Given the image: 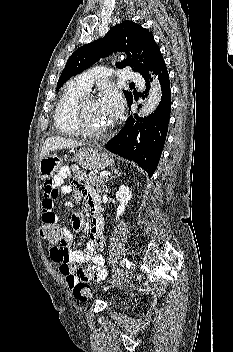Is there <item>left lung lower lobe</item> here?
<instances>
[{
	"label": "left lung lower lobe",
	"instance_id": "1",
	"mask_svg": "<svg viewBox=\"0 0 233 352\" xmlns=\"http://www.w3.org/2000/svg\"><path fill=\"white\" fill-rule=\"evenodd\" d=\"M154 74L158 76L162 90L161 101L157 109L144 118L130 116L123 129L105 144L107 150L136 162L149 176L153 175L159 163L171 111L170 81L164 60ZM144 79L146 87L143 93H147L152 79L151 76ZM132 103L133 99L128 102L129 108Z\"/></svg>",
	"mask_w": 233,
	"mask_h": 352
}]
</instances>
